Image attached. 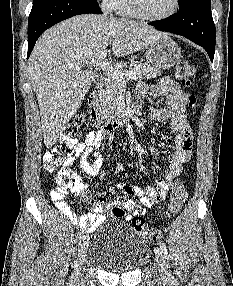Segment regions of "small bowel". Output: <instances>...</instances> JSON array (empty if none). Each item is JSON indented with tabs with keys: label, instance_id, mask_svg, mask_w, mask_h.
Segmentation results:
<instances>
[{
	"label": "small bowel",
	"instance_id": "c3829d8e",
	"mask_svg": "<svg viewBox=\"0 0 233 286\" xmlns=\"http://www.w3.org/2000/svg\"><path fill=\"white\" fill-rule=\"evenodd\" d=\"M137 94L142 96L149 94L154 98L166 96L163 108H150L149 117L158 122L169 121L170 131L174 135L175 148L172 151H165L167 166L163 170L161 178L155 180L156 186L141 188L130 183H118L116 185L124 195L131 197L122 201L123 205L134 214L142 213L145 208L153 203L166 198L167 193L182 169V165L187 162L192 155V130L187 122L188 94L181 86L171 78H162L155 85L139 84ZM104 138L103 130L88 133L82 142L76 145L74 156L68 159L65 164L72 165L76 159L83 172L87 175H97L102 166L103 159L99 148ZM150 154L157 159L158 152L150 150ZM123 169L120 164L118 171ZM79 195L92 208L91 212L85 213L80 217L73 211V204L65 200L66 191L56 188L51 193V198L56 207L77 227L87 228L89 232L95 231L106 219L108 205L104 199L94 200L85 186L81 191H72ZM126 219H130L127 216Z\"/></svg>",
	"mask_w": 233,
	"mask_h": 286
}]
</instances>
